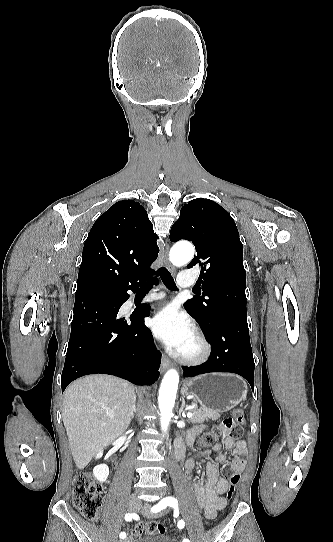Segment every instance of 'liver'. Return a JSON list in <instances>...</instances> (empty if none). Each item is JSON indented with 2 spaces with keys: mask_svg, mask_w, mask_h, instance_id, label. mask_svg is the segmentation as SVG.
<instances>
[{
  "mask_svg": "<svg viewBox=\"0 0 333 542\" xmlns=\"http://www.w3.org/2000/svg\"><path fill=\"white\" fill-rule=\"evenodd\" d=\"M135 400L132 384L106 374L85 376L66 388L62 420L78 470L126 432Z\"/></svg>",
  "mask_w": 333,
  "mask_h": 542,
  "instance_id": "1",
  "label": "liver"
}]
</instances>
